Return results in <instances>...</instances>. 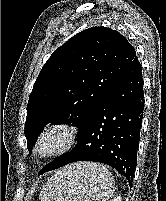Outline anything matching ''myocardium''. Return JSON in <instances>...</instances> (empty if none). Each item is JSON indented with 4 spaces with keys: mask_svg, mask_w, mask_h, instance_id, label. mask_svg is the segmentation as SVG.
Segmentation results:
<instances>
[{
    "mask_svg": "<svg viewBox=\"0 0 166 201\" xmlns=\"http://www.w3.org/2000/svg\"><path fill=\"white\" fill-rule=\"evenodd\" d=\"M76 141V129L66 123H53L37 136L33 153L38 159L60 156L71 149Z\"/></svg>",
    "mask_w": 166,
    "mask_h": 201,
    "instance_id": "f54148a6",
    "label": "myocardium"
}]
</instances>
